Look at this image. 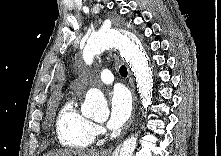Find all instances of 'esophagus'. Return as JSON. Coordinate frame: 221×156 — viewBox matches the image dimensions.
Returning a JSON list of instances; mask_svg holds the SVG:
<instances>
[{
	"mask_svg": "<svg viewBox=\"0 0 221 156\" xmlns=\"http://www.w3.org/2000/svg\"><path fill=\"white\" fill-rule=\"evenodd\" d=\"M128 74H129V83H130V88L133 94V101H134V111H135V106H136V94H135V85H134V81H133V77L131 75V72L128 70ZM113 148L110 147L108 149H105L101 152V156H110L112 153Z\"/></svg>",
	"mask_w": 221,
	"mask_h": 156,
	"instance_id": "obj_1",
	"label": "esophagus"
}]
</instances>
